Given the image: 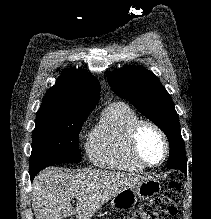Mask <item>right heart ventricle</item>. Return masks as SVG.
Here are the masks:
<instances>
[{
	"mask_svg": "<svg viewBox=\"0 0 211 219\" xmlns=\"http://www.w3.org/2000/svg\"><path fill=\"white\" fill-rule=\"evenodd\" d=\"M139 116L127 104L115 102L102 112L100 121L86 144L89 160L96 166L125 172L144 167L132 156L129 135Z\"/></svg>",
	"mask_w": 211,
	"mask_h": 219,
	"instance_id": "obj_1",
	"label": "right heart ventricle"
}]
</instances>
